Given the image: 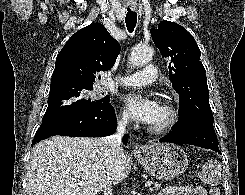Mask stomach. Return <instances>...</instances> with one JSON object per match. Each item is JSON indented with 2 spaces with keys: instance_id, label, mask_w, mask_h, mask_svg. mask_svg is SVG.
Wrapping results in <instances>:
<instances>
[{
  "instance_id": "0dacf381",
  "label": "stomach",
  "mask_w": 245,
  "mask_h": 195,
  "mask_svg": "<svg viewBox=\"0 0 245 195\" xmlns=\"http://www.w3.org/2000/svg\"><path fill=\"white\" fill-rule=\"evenodd\" d=\"M138 162L153 177L170 180L185 172L188 167L186 153L174 144H151L135 154Z\"/></svg>"
}]
</instances>
